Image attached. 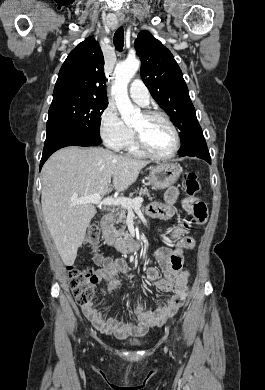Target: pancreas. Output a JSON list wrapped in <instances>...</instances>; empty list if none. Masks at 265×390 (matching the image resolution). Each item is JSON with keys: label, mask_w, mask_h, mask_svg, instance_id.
<instances>
[{"label": "pancreas", "mask_w": 265, "mask_h": 390, "mask_svg": "<svg viewBox=\"0 0 265 390\" xmlns=\"http://www.w3.org/2000/svg\"><path fill=\"white\" fill-rule=\"evenodd\" d=\"M140 195H147L150 196L149 191L145 189L139 190ZM112 222L110 225V229L114 233L115 238L117 239V242L119 241L118 237H124V240H129L130 234L128 232H125L123 229L116 230L114 227V224L124 223L126 219V208L124 207H118L113 210L112 213Z\"/></svg>", "instance_id": "1"}]
</instances>
